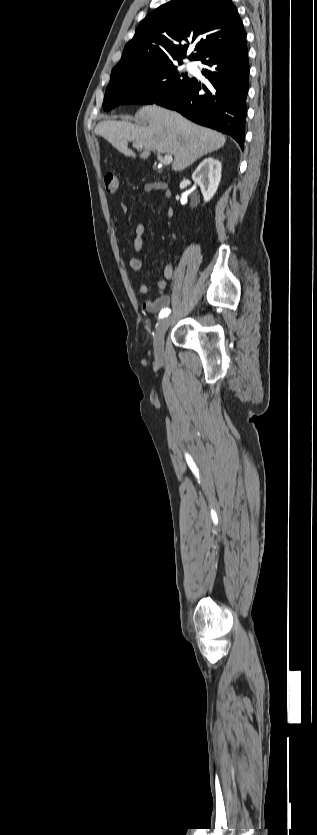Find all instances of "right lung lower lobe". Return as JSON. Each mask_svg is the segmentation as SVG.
<instances>
[{
  "label": "right lung lower lobe",
  "instance_id": "98d812e1",
  "mask_svg": "<svg viewBox=\"0 0 317 835\" xmlns=\"http://www.w3.org/2000/svg\"><path fill=\"white\" fill-rule=\"evenodd\" d=\"M198 60L209 66L202 73L208 87L192 78L155 103L176 110L191 121L231 135L243 149L249 61L246 39L220 46ZM204 94H199L200 90Z\"/></svg>",
  "mask_w": 317,
  "mask_h": 835
}]
</instances>
